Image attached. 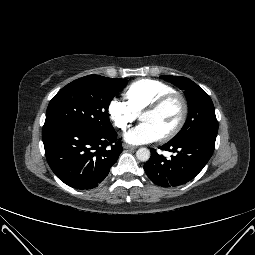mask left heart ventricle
<instances>
[{
    "label": "left heart ventricle",
    "instance_id": "1",
    "mask_svg": "<svg viewBox=\"0 0 255 255\" xmlns=\"http://www.w3.org/2000/svg\"><path fill=\"white\" fill-rule=\"evenodd\" d=\"M180 114V101L174 99L155 112L143 114L140 119L142 122L150 124L159 136H162L175 126L179 120Z\"/></svg>",
    "mask_w": 255,
    "mask_h": 255
}]
</instances>
